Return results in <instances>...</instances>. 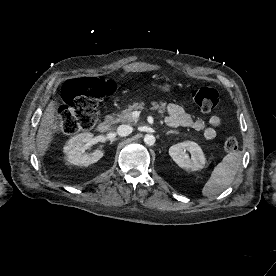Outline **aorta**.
<instances>
[{"label":"aorta","instance_id":"obj_1","mask_svg":"<svg viewBox=\"0 0 276 276\" xmlns=\"http://www.w3.org/2000/svg\"><path fill=\"white\" fill-rule=\"evenodd\" d=\"M144 142L148 146H152L155 143V137L152 134H146L144 137Z\"/></svg>","mask_w":276,"mask_h":276}]
</instances>
